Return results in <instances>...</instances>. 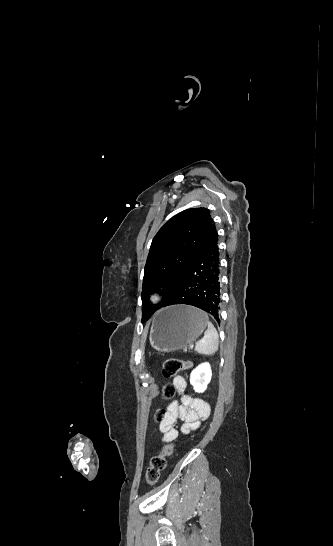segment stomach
Wrapping results in <instances>:
<instances>
[{
	"instance_id": "0dacf381",
	"label": "stomach",
	"mask_w": 333,
	"mask_h": 546,
	"mask_svg": "<svg viewBox=\"0 0 333 546\" xmlns=\"http://www.w3.org/2000/svg\"><path fill=\"white\" fill-rule=\"evenodd\" d=\"M205 313L188 305H172L159 310L150 330L151 346L161 352H173L191 345L206 329Z\"/></svg>"
}]
</instances>
